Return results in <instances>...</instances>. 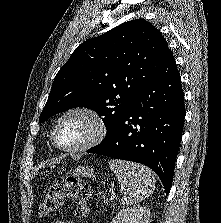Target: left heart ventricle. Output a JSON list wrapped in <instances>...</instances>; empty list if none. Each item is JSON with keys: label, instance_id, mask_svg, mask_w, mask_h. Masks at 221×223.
Returning <instances> with one entry per match:
<instances>
[{"label": "left heart ventricle", "instance_id": "obj_1", "mask_svg": "<svg viewBox=\"0 0 221 223\" xmlns=\"http://www.w3.org/2000/svg\"><path fill=\"white\" fill-rule=\"evenodd\" d=\"M92 121L81 114L67 116L56 131V140L61 146H74L85 141L92 134Z\"/></svg>", "mask_w": 221, "mask_h": 223}]
</instances>
